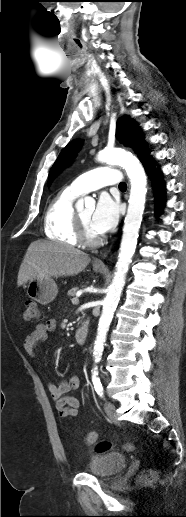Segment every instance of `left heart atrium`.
<instances>
[{
    "mask_svg": "<svg viewBox=\"0 0 186 517\" xmlns=\"http://www.w3.org/2000/svg\"><path fill=\"white\" fill-rule=\"evenodd\" d=\"M119 204L109 195L100 196L91 217V227L98 234L110 231L119 219Z\"/></svg>",
    "mask_w": 186,
    "mask_h": 517,
    "instance_id": "1",
    "label": "left heart atrium"
}]
</instances>
